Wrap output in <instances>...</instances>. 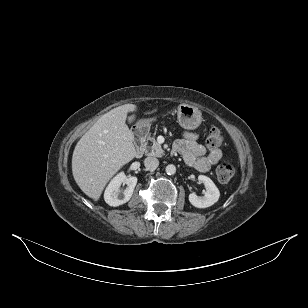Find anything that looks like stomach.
I'll use <instances>...</instances> for the list:
<instances>
[{
    "instance_id": "stomach-1",
    "label": "stomach",
    "mask_w": 308,
    "mask_h": 308,
    "mask_svg": "<svg viewBox=\"0 0 308 308\" xmlns=\"http://www.w3.org/2000/svg\"><path fill=\"white\" fill-rule=\"evenodd\" d=\"M177 119L181 127L188 130L196 129L202 121L201 111L192 105L181 104L177 108ZM153 119L139 122L140 127H149Z\"/></svg>"
}]
</instances>
